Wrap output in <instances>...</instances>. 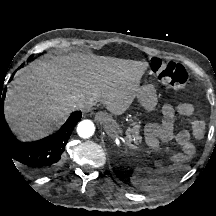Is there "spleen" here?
<instances>
[{
    "label": "spleen",
    "mask_w": 216,
    "mask_h": 216,
    "mask_svg": "<svg viewBox=\"0 0 216 216\" xmlns=\"http://www.w3.org/2000/svg\"><path fill=\"white\" fill-rule=\"evenodd\" d=\"M151 170L145 166L136 165L133 168V174L130 177V181L135 186H140L143 189L150 190L154 187L155 184L163 182V180L158 178H152L145 176V174H151Z\"/></svg>",
    "instance_id": "3e777b00"
}]
</instances>
